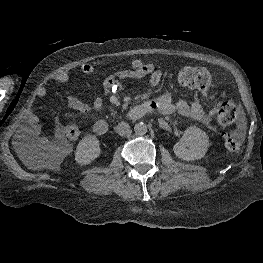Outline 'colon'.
Instances as JSON below:
<instances>
[{"label": "colon", "instance_id": "obj_1", "mask_svg": "<svg viewBox=\"0 0 263 263\" xmlns=\"http://www.w3.org/2000/svg\"><path fill=\"white\" fill-rule=\"evenodd\" d=\"M179 83L185 87L200 91L204 97L209 98L212 77L209 71L203 67H184L178 74ZM212 114L218 123L223 126L232 124L237 117V108L231 102H218L213 106ZM64 134L70 141L79 138V129L75 124H69L64 128ZM224 144L229 151H239L243 144V135L239 131H231L224 135ZM50 158L58 162L60 155L58 151L52 150Z\"/></svg>", "mask_w": 263, "mask_h": 263}]
</instances>
